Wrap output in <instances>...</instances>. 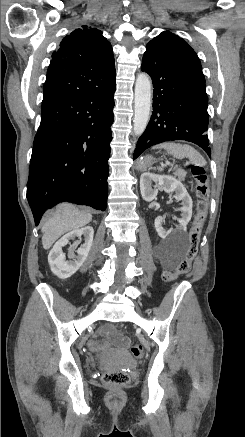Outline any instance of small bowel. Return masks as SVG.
I'll use <instances>...</instances> for the list:
<instances>
[{
	"label": "small bowel",
	"mask_w": 245,
	"mask_h": 437,
	"mask_svg": "<svg viewBox=\"0 0 245 437\" xmlns=\"http://www.w3.org/2000/svg\"><path fill=\"white\" fill-rule=\"evenodd\" d=\"M113 335L116 337L117 341H118L120 344L125 345V344L128 343V340H127L126 338H124V337H120V336H118V335H116V334H113Z\"/></svg>",
	"instance_id": "c3829d8e"
}]
</instances>
